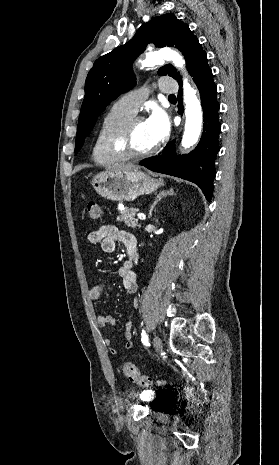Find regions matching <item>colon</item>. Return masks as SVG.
Masks as SVG:
<instances>
[{
    "label": "colon",
    "mask_w": 279,
    "mask_h": 465,
    "mask_svg": "<svg viewBox=\"0 0 279 465\" xmlns=\"http://www.w3.org/2000/svg\"><path fill=\"white\" fill-rule=\"evenodd\" d=\"M87 211L92 221H98L101 218V208L97 203H88ZM122 371L131 382L141 387H152L153 385L162 386L166 383L164 380L154 381L151 377L143 375L139 369L130 362H126L122 365Z\"/></svg>",
    "instance_id": "obj_1"
}]
</instances>
